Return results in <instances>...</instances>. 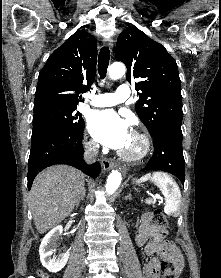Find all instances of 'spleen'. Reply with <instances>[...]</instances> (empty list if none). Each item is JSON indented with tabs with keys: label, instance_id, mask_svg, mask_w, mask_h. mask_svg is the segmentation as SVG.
Instances as JSON below:
<instances>
[{
	"label": "spleen",
	"instance_id": "3e777b00",
	"mask_svg": "<svg viewBox=\"0 0 221 278\" xmlns=\"http://www.w3.org/2000/svg\"><path fill=\"white\" fill-rule=\"evenodd\" d=\"M152 181L165 197L164 212L168 216H176L181 203V191L176 182L166 173H147L138 182Z\"/></svg>",
	"mask_w": 221,
	"mask_h": 278
}]
</instances>
